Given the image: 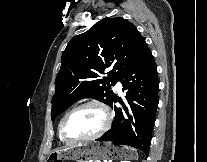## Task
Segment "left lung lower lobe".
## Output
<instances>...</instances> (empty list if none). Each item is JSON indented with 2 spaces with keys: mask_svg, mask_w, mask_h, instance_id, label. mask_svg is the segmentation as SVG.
Wrapping results in <instances>:
<instances>
[{
  "mask_svg": "<svg viewBox=\"0 0 207 162\" xmlns=\"http://www.w3.org/2000/svg\"><path fill=\"white\" fill-rule=\"evenodd\" d=\"M121 82L127 90L126 101L115 98L111 105L115 111L112 128L96 141L128 145L148 155L159 102L157 66L150 50L123 76ZM116 101L123 108H117Z\"/></svg>",
  "mask_w": 207,
  "mask_h": 162,
  "instance_id": "left-lung-lower-lobe-1",
  "label": "left lung lower lobe"
}]
</instances>
